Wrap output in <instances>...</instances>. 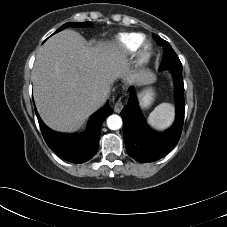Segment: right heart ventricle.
Instances as JSON below:
<instances>
[{"label": "right heart ventricle", "instance_id": "obj_1", "mask_svg": "<svg viewBox=\"0 0 227 227\" xmlns=\"http://www.w3.org/2000/svg\"><path fill=\"white\" fill-rule=\"evenodd\" d=\"M144 41V36L140 33H123L117 38L118 47L127 54L136 52Z\"/></svg>", "mask_w": 227, "mask_h": 227}]
</instances>
